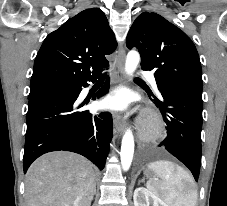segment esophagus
Wrapping results in <instances>:
<instances>
[{
    "instance_id": "1",
    "label": "esophagus",
    "mask_w": 227,
    "mask_h": 206,
    "mask_svg": "<svg viewBox=\"0 0 227 206\" xmlns=\"http://www.w3.org/2000/svg\"><path fill=\"white\" fill-rule=\"evenodd\" d=\"M125 59H126L125 47L123 44H121L119 46L117 59L114 64L115 78L118 83H123L124 81L123 69H124ZM113 122H114L115 132L118 134H122L125 129V123L122 119V115H120L119 113H115L113 116Z\"/></svg>"
}]
</instances>
